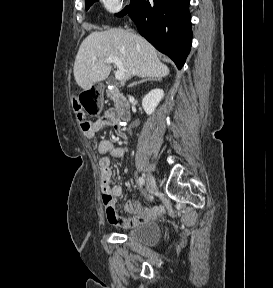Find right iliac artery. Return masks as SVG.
Masks as SVG:
<instances>
[{"mask_svg":"<svg viewBox=\"0 0 273 288\" xmlns=\"http://www.w3.org/2000/svg\"><path fill=\"white\" fill-rule=\"evenodd\" d=\"M144 183H145L144 178H143V177H139V179H138V184H139L140 186H143Z\"/></svg>","mask_w":273,"mask_h":288,"instance_id":"obj_1","label":"right iliac artery"}]
</instances>
